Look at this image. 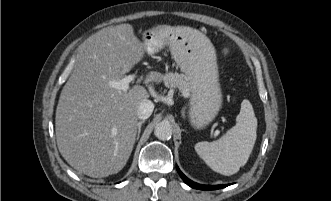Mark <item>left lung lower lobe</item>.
Instances as JSON below:
<instances>
[{"instance_id": "1", "label": "left lung lower lobe", "mask_w": 331, "mask_h": 201, "mask_svg": "<svg viewBox=\"0 0 331 201\" xmlns=\"http://www.w3.org/2000/svg\"><path fill=\"white\" fill-rule=\"evenodd\" d=\"M177 168V171L179 173V175L181 176V178L183 179V181L189 185L190 187L192 188H195V189H200V190H216V189H221V188H224L228 185H216V186H208V185H200L198 183H195L193 181H191L190 179H188L181 171L178 167Z\"/></svg>"}]
</instances>
